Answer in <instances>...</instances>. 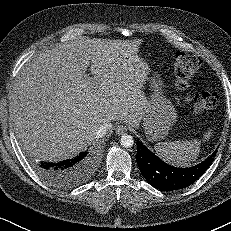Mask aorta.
Returning <instances> with one entry per match:
<instances>
[{
	"label": "aorta",
	"mask_w": 231,
	"mask_h": 231,
	"mask_svg": "<svg viewBox=\"0 0 231 231\" xmlns=\"http://www.w3.org/2000/svg\"><path fill=\"white\" fill-rule=\"evenodd\" d=\"M120 144L125 148H130L134 144V139L131 135L124 134L121 136Z\"/></svg>",
	"instance_id": "aorta-1"
}]
</instances>
